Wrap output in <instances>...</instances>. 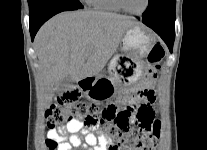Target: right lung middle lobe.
<instances>
[{
  "label": "right lung middle lobe",
  "instance_id": "obj_1",
  "mask_svg": "<svg viewBox=\"0 0 207 150\" xmlns=\"http://www.w3.org/2000/svg\"><path fill=\"white\" fill-rule=\"evenodd\" d=\"M55 2L67 3L73 6H77L79 8H83V5L80 3L79 0H28L29 11L30 12L36 11L47 4L55 3Z\"/></svg>",
  "mask_w": 207,
  "mask_h": 150
}]
</instances>
